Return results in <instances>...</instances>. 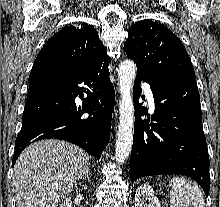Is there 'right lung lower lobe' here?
Masks as SVG:
<instances>
[{"instance_id": "1", "label": "right lung lower lobe", "mask_w": 220, "mask_h": 207, "mask_svg": "<svg viewBox=\"0 0 220 207\" xmlns=\"http://www.w3.org/2000/svg\"><path fill=\"white\" fill-rule=\"evenodd\" d=\"M109 61L99 60L78 72L41 70L30 73L13 166L26 146L45 138L72 142L100 158L110 138L115 100ZM84 92L87 94L85 99ZM77 96L83 99L82 107L75 104Z\"/></svg>"}]
</instances>
